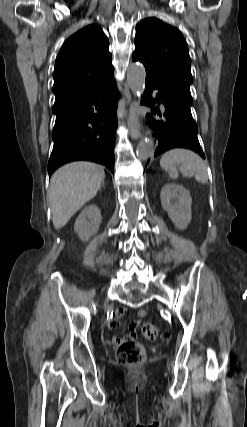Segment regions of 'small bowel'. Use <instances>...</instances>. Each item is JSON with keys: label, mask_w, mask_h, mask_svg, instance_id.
Segmentation results:
<instances>
[{"label": "small bowel", "mask_w": 247, "mask_h": 427, "mask_svg": "<svg viewBox=\"0 0 247 427\" xmlns=\"http://www.w3.org/2000/svg\"><path fill=\"white\" fill-rule=\"evenodd\" d=\"M146 314H147L146 310L144 309L139 310L137 315L138 319L133 320L129 325L128 335H126L125 337H114L112 341L117 345H120L128 341H134L137 338L136 330L139 323V318H143L144 316H146ZM127 315H129V312L125 308L117 309L114 315V319L110 323V328H115L120 323L121 319Z\"/></svg>", "instance_id": "obj_1"}]
</instances>
